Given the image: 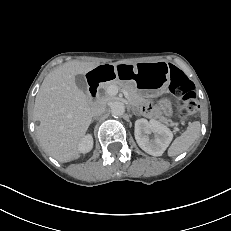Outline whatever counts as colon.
I'll list each match as a JSON object with an SVG mask.
<instances>
[{
	"label": "colon",
	"mask_w": 231,
	"mask_h": 231,
	"mask_svg": "<svg viewBox=\"0 0 231 231\" xmlns=\"http://www.w3.org/2000/svg\"><path fill=\"white\" fill-rule=\"evenodd\" d=\"M170 90L182 99L178 115L180 119H187L199 109L195 86L181 71L176 70L171 80Z\"/></svg>",
	"instance_id": "5ec220e1"
}]
</instances>
